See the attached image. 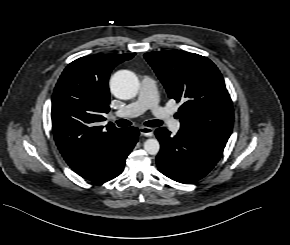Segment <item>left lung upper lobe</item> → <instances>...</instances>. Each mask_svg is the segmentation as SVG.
<instances>
[{
	"label": "left lung upper lobe",
	"mask_w": 290,
	"mask_h": 245,
	"mask_svg": "<svg viewBox=\"0 0 290 245\" xmlns=\"http://www.w3.org/2000/svg\"><path fill=\"white\" fill-rule=\"evenodd\" d=\"M169 98L180 102V130L226 145L233 128V107L224 79L208 58L180 50L144 55Z\"/></svg>",
	"instance_id": "5c2ea615"
}]
</instances>
